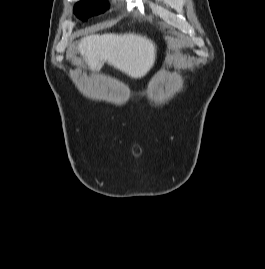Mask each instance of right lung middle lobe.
Returning a JSON list of instances; mask_svg holds the SVG:
<instances>
[{"label":"right lung middle lobe","instance_id":"1","mask_svg":"<svg viewBox=\"0 0 265 269\" xmlns=\"http://www.w3.org/2000/svg\"><path fill=\"white\" fill-rule=\"evenodd\" d=\"M106 8V0H82L75 5L74 13L85 21L93 15L104 12Z\"/></svg>","mask_w":265,"mask_h":269}]
</instances>
